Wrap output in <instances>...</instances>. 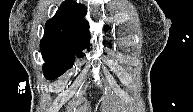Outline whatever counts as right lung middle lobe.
Segmentation results:
<instances>
[{"instance_id":"1","label":"right lung middle lobe","mask_w":193,"mask_h":112,"mask_svg":"<svg viewBox=\"0 0 193 112\" xmlns=\"http://www.w3.org/2000/svg\"><path fill=\"white\" fill-rule=\"evenodd\" d=\"M87 46L63 40H41L40 49L46 63L43 65L44 76L53 80L72 68L74 57L81 56Z\"/></svg>"}]
</instances>
